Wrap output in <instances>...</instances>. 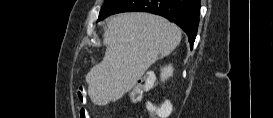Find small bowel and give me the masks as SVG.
I'll return each instance as SVG.
<instances>
[{"instance_id": "1", "label": "small bowel", "mask_w": 273, "mask_h": 118, "mask_svg": "<svg viewBox=\"0 0 273 118\" xmlns=\"http://www.w3.org/2000/svg\"><path fill=\"white\" fill-rule=\"evenodd\" d=\"M78 99L82 104L87 101V94L84 88H80V90L78 91ZM104 109L107 110L108 106H104ZM79 116L80 118H89L87 110L83 107L79 110Z\"/></svg>"}]
</instances>
